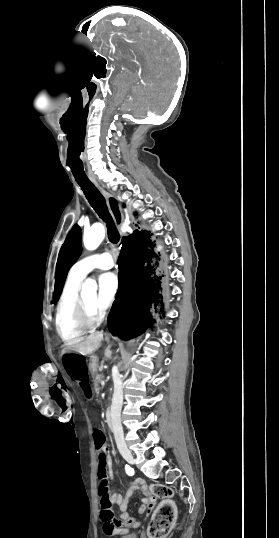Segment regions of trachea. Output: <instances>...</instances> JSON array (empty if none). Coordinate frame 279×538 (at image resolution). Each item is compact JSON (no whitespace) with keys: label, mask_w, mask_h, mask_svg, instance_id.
<instances>
[{"label":"trachea","mask_w":279,"mask_h":538,"mask_svg":"<svg viewBox=\"0 0 279 538\" xmlns=\"http://www.w3.org/2000/svg\"><path fill=\"white\" fill-rule=\"evenodd\" d=\"M75 181L83 190L85 197L90 203L91 207L95 210L97 215L105 222L107 227L108 239L111 243L115 244L119 242L120 235L116 230L114 221L108 211L105 199L99 190L93 185L87 176L75 177Z\"/></svg>","instance_id":"3493384b"}]
</instances>
